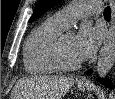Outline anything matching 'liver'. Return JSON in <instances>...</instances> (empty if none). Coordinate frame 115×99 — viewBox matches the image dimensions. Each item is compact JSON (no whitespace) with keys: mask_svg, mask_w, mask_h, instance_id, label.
I'll return each instance as SVG.
<instances>
[{"mask_svg":"<svg viewBox=\"0 0 115 99\" xmlns=\"http://www.w3.org/2000/svg\"><path fill=\"white\" fill-rule=\"evenodd\" d=\"M74 85V79L63 76L22 78L15 85L17 99H62Z\"/></svg>","mask_w":115,"mask_h":99,"instance_id":"liver-1","label":"liver"}]
</instances>
